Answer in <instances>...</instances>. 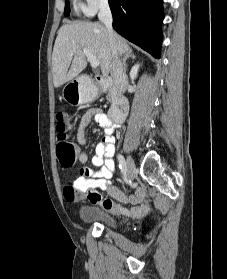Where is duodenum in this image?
I'll return each instance as SVG.
<instances>
[{"label":"duodenum","instance_id":"410a0bca","mask_svg":"<svg viewBox=\"0 0 227 279\" xmlns=\"http://www.w3.org/2000/svg\"><path fill=\"white\" fill-rule=\"evenodd\" d=\"M95 85L98 92H104L108 88L113 87L114 83L106 77H101L98 78ZM81 95L82 97H87L81 101V104H88L93 102L96 99V96L90 95L89 92H82ZM128 109H129V99L124 96L118 95L115 106L110 111L111 120L117 124L124 122L128 114Z\"/></svg>","mask_w":227,"mask_h":279}]
</instances>
